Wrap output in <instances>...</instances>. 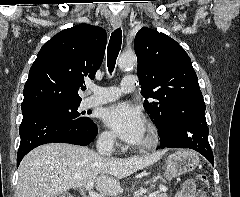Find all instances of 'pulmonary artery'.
Here are the masks:
<instances>
[{"label":"pulmonary artery","mask_w":240,"mask_h":197,"mask_svg":"<svg viewBox=\"0 0 240 197\" xmlns=\"http://www.w3.org/2000/svg\"><path fill=\"white\" fill-rule=\"evenodd\" d=\"M135 88L136 82L133 75L124 76L119 87L92 86L93 93L86 99V106L93 107L115 101L121 95L132 92Z\"/></svg>","instance_id":"obj_1"}]
</instances>
